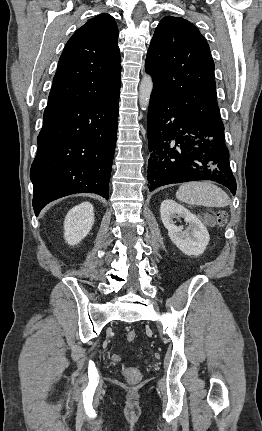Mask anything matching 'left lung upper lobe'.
I'll return each instance as SVG.
<instances>
[{"label": "left lung upper lobe", "instance_id": "1", "mask_svg": "<svg viewBox=\"0 0 262 431\" xmlns=\"http://www.w3.org/2000/svg\"><path fill=\"white\" fill-rule=\"evenodd\" d=\"M145 69L153 77L154 89L197 123L223 126L210 48L192 23L181 17H164L153 35Z\"/></svg>", "mask_w": 262, "mask_h": 431}]
</instances>
